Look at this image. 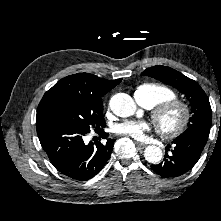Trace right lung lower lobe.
Returning a JSON list of instances; mask_svg holds the SVG:
<instances>
[{"label": "right lung lower lobe", "mask_w": 221, "mask_h": 221, "mask_svg": "<svg viewBox=\"0 0 221 221\" xmlns=\"http://www.w3.org/2000/svg\"><path fill=\"white\" fill-rule=\"evenodd\" d=\"M37 134L42 148L54 167L63 175L78 181L93 178L104 167L113 150L114 139L105 144L84 143L87 132L46 116L36 118ZM101 138L108 133L98 131Z\"/></svg>", "instance_id": "1"}]
</instances>
